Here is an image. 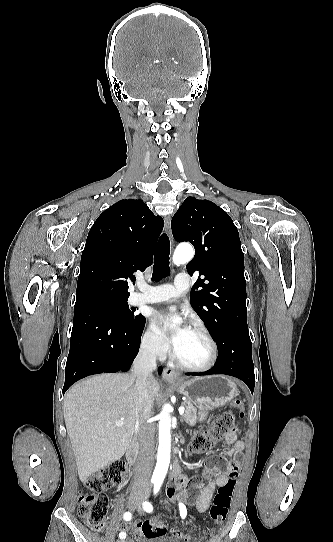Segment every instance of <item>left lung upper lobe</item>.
I'll return each instance as SVG.
<instances>
[{"label": "left lung upper lobe", "instance_id": "1", "mask_svg": "<svg viewBox=\"0 0 333 542\" xmlns=\"http://www.w3.org/2000/svg\"><path fill=\"white\" fill-rule=\"evenodd\" d=\"M171 226L176 241H188L195 248L186 267L190 275L199 271L190 303L219 346L229 331L248 329L244 254L238 230L223 209L195 197L185 199Z\"/></svg>", "mask_w": 333, "mask_h": 542}]
</instances>
